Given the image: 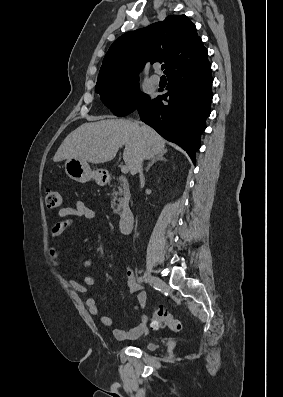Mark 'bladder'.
I'll return each mask as SVG.
<instances>
[{
  "label": "bladder",
  "instance_id": "1",
  "mask_svg": "<svg viewBox=\"0 0 283 397\" xmlns=\"http://www.w3.org/2000/svg\"><path fill=\"white\" fill-rule=\"evenodd\" d=\"M144 348L147 349V350L152 351V350H155L156 344L153 343V342H148V343H146V344L144 345Z\"/></svg>",
  "mask_w": 283,
  "mask_h": 397
}]
</instances>
